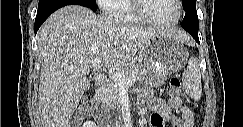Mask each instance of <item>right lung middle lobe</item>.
Instances as JSON below:
<instances>
[{"label":"right lung middle lobe","mask_w":243,"mask_h":127,"mask_svg":"<svg viewBox=\"0 0 243 127\" xmlns=\"http://www.w3.org/2000/svg\"><path fill=\"white\" fill-rule=\"evenodd\" d=\"M46 0H40L39 1V4L40 3H43L45 2ZM82 2L90 9H92L93 11H96L97 8H96V2L95 0H82Z\"/></svg>","instance_id":"dd1d6c3e"}]
</instances>
